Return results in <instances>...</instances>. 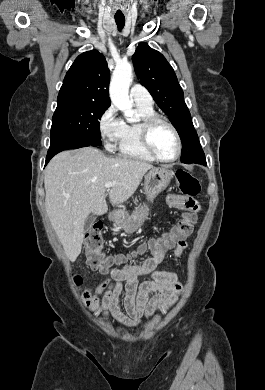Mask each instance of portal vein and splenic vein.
<instances>
[{
  "mask_svg": "<svg viewBox=\"0 0 265 390\" xmlns=\"http://www.w3.org/2000/svg\"><path fill=\"white\" fill-rule=\"evenodd\" d=\"M113 185H114V183H112V182H107V183L105 184V188H106V189H110Z\"/></svg>",
  "mask_w": 265,
  "mask_h": 390,
  "instance_id": "obj_1",
  "label": "portal vein and splenic vein"
}]
</instances>
